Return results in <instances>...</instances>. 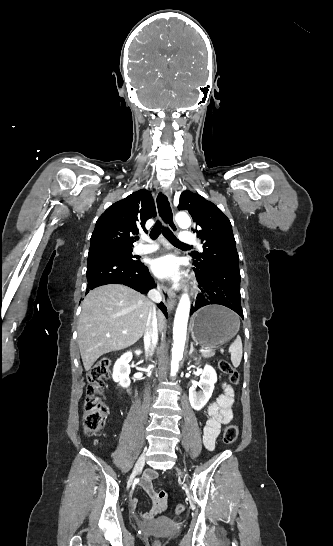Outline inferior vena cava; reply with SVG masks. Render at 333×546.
<instances>
[{"label":"inferior vena cava","mask_w":333,"mask_h":546,"mask_svg":"<svg viewBox=\"0 0 333 546\" xmlns=\"http://www.w3.org/2000/svg\"><path fill=\"white\" fill-rule=\"evenodd\" d=\"M148 297L156 304L162 301V296L159 289H152L148 293ZM152 303L153 310L152 314L148 320L146 331L144 334V345L145 349L149 352H154L158 342V319L156 305Z\"/></svg>","instance_id":"602c4592"}]
</instances>
